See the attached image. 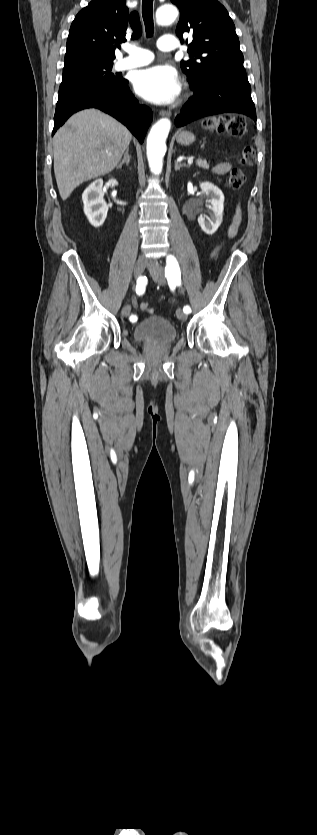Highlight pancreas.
<instances>
[{
	"label": "pancreas",
	"instance_id": "obj_1",
	"mask_svg": "<svg viewBox=\"0 0 317 835\" xmlns=\"http://www.w3.org/2000/svg\"><path fill=\"white\" fill-rule=\"evenodd\" d=\"M196 165L204 169H209V165L205 159H198Z\"/></svg>",
	"mask_w": 317,
	"mask_h": 835
}]
</instances>
